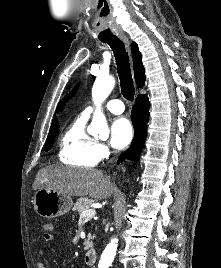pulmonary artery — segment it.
I'll list each match as a JSON object with an SVG mask.
<instances>
[{"label":"pulmonary artery","instance_id":"pulmonary-artery-1","mask_svg":"<svg viewBox=\"0 0 221 268\" xmlns=\"http://www.w3.org/2000/svg\"><path fill=\"white\" fill-rule=\"evenodd\" d=\"M105 108L109 110L113 114H121L124 112V104L119 99H113L106 103ZM94 111V108L89 106L85 108L82 114H84L86 117H89Z\"/></svg>","mask_w":221,"mask_h":268}]
</instances>
